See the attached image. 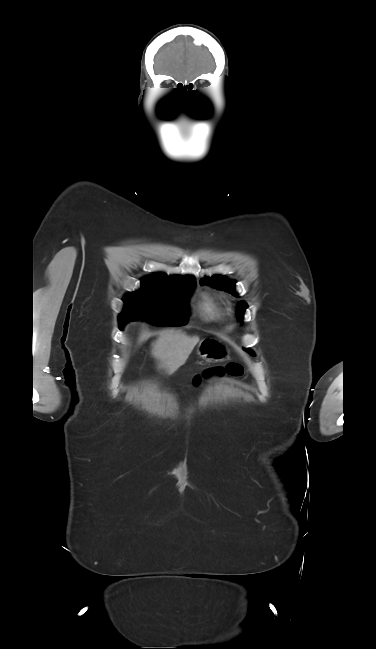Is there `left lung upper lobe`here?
<instances>
[{
  "mask_svg": "<svg viewBox=\"0 0 376 649\" xmlns=\"http://www.w3.org/2000/svg\"><path fill=\"white\" fill-rule=\"evenodd\" d=\"M204 281L208 283L210 286L225 290L230 292L231 294L238 296V294L235 292L234 287H235V281H230L227 280L225 276H219L215 275L212 276L211 278L204 277ZM246 309V304L244 302H239L238 306V312L240 314V322H241V317ZM249 354L254 355L251 353V350L248 351Z\"/></svg>",
  "mask_w": 376,
  "mask_h": 649,
  "instance_id": "1",
  "label": "left lung upper lobe"
}]
</instances>
